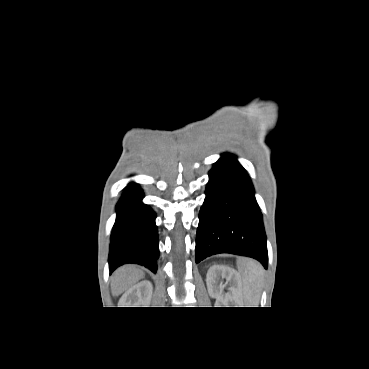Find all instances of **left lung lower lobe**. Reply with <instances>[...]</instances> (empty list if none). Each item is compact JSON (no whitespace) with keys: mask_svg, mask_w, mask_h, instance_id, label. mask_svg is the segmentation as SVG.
<instances>
[{"mask_svg":"<svg viewBox=\"0 0 369 369\" xmlns=\"http://www.w3.org/2000/svg\"><path fill=\"white\" fill-rule=\"evenodd\" d=\"M206 198L199 212L196 263L218 253L257 259L267 268L268 253L262 214L252 182L229 153L209 172Z\"/></svg>","mask_w":369,"mask_h":369,"instance_id":"0a47b994","label":"left lung lower lobe"}]
</instances>
